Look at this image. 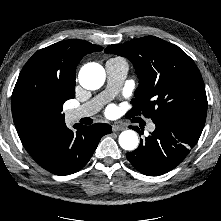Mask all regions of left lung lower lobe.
<instances>
[{"mask_svg":"<svg viewBox=\"0 0 221 221\" xmlns=\"http://www.w3.org/2000/svg\"><path fill=\"white\" fill-rule=\"evenodd\" d=\"M154 123L156 129L151 135L126 154L133 167L147 176L162 175L178 166L196 145L204 127L188 121ZM132 128L142 133L138 127Z\"/></svg>","mask_w":221,"mask_h":221,"instance_id":"obj_1","label":"left lung lower lobe"}]
</instances>
